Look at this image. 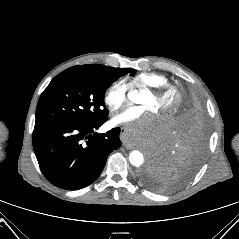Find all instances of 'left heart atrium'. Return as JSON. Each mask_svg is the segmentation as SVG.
<instances>
[{
	"label": "left heart atrium",
	"mask_w": 239,
	"mask_h": 239,
	"mask_svg": "<svg viewBox=\"0 0 239 239\" xmlns=\"http://www.w3.org/2000/svg\"><path fill=\"white\" fill-rule=\"evenodd\" d=\"M156 113L146 105L130 106L116 113L112 120L117 125L129 127V137L132 142L137 141L139 136L153 131L156 127ZM137 122L132 126L133 122Z\"/></svg>",
	"instance_id": "1"
}]
</instances>
